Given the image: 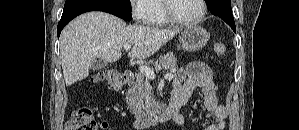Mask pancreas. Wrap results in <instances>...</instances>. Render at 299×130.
I'll use <instances>...</instances> for the list:
<instances>
[{"instance_id": "cf45deb5", "label": "pancreas", "mask_w": 299, "mask_h": 130, "mask_svg": "<svg viewBox=\"0 0 299 130\" xmlns=\"http://www.w3.org/2000/svg\"><path fill=\"white\" fill-rule=\"evenodd\" d=\"M154 65H160L165 70L174 72L177 69V60L172 52L162 55L159 61H155ZM126 102L130 111L137 118H141L151 114L155 105L153 89L143 74L137 76L136 81L126 93Z\"/></svg>"}]
</instances>
